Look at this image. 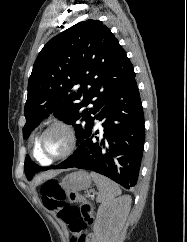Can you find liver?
<instances>
[{
	"label": "liver",
	"mask_w": 187,
	"mask_h": 242,
	"mask_svg": "<svg viewBox=\"0 0 187 242\" xmlns=\"http://www.w3.org/2000/svg\"><path fill=\"white\" fill-rule=\"evenodd\" d=\"M57 173H58V172L45 173V174H43V175L38 176V177H37V180L40 181V180H42L43 178H47V177L52 176V175H55V174H57Z\"/></svg>",
	"instance_id": "obj_1"
}]
</instances>
